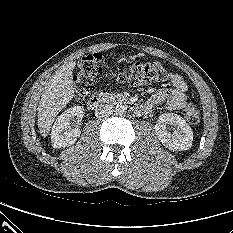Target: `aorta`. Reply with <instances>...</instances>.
I'll return each instance as SVG.
<instances>
[{
	"mask_svg": "<svg viewBox=\"0 0 233 233\" xmlns=\"http://www.w3.org/2000/svg\"><path fill=\"white\" fill-rule=\"evenodd\" d=\"M114 112L118 116H124L126 114V112H127V108L123 104H118V105L115 106Z\"/></svg>",
	"mask_w": 233,
	"mask_h": 233,
	"instance_id": "obj_1",
	"label": "aorta"
}]
</instances>
